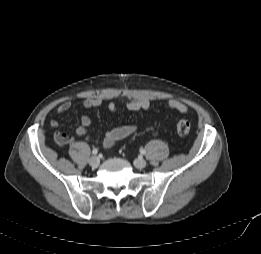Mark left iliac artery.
<instances>
[{
    "mask_svg": "<svg viewBox=\"0 0 261 254\" xmlns=\"http://www.w3.org/2000/svg\"><path fill=\"white\" fill-rule=\"evenodd\" d=\"M140 152H141L142 154H145V153H146V151H145L144 149H140Z\"/></svg>",
    "mask_w": 261,
    "mask_h": 254,
    "instance_id": "obj_1",
    "label": "left iliac artery"
}]
</instances>
